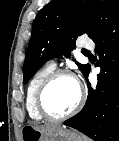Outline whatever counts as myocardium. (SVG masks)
I'll list each match as a JSON object with an SVG mask.
<instances>
[{
    "label": "myocardium",
    "mask_w": 119,
    "mask_h": 141,
    "mask_svg": "<svg viewBox=\"0 0 119 141\" xmlns=\"http://www.w3.org/2000/svg\"><path fill=\"white\" fill-rule=\"evenodd\" d=\"M60 76H68L72 78L77 84L79 95H78V100L76 104L74 105V107L71 110H69L68 112L62 115L53 116L46 111L44 104H43V98H44V94L47 88L51 85V83L54 80H56ZM84 101H85V92H84L83 87L81 86L76 75L67 69H58V70H54L53 72H51L40 84L36 92V96H35V105H36V109L38 113L42 116V118L50 120V121H61V120H65L67 118L72 117L77 112H79V110L82 108L84 104Z\"/></svg>",
    "instance_id": "obj_1"
}]
</instances>
